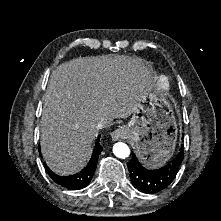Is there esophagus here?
I'll list each match as a JSON object with an SVG mask.
<instances>
[{
    "label": "esophagus",
    "mask_w": 221,
    "mask_h": 221,
    "mask_svg": "<svg viewBox=\"0 0 221 221\" xmlns=\"http://www.w3.org/2000/svg\"><path fill=\"white\" fill-rule=\"evenodd\" d=\"M111 138H112V140H114V141H117V140H120V139H128V138H129V134H128V132L126 131L125 128L120 127V128L114 130V131L111 133Z\"/></svg>",
    "instance_id": "obj_1"
}]
</instances>
